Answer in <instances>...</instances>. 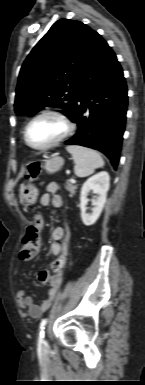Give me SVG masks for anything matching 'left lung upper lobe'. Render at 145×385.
I'll use <instances>...</instances> for the list:
<instances>
[{
    "label": "left lung upper lobe",
    "mask_w": 145,
    "mask_h": 385,
    "mask_svg": "<svg viewBox=\"0 0 145 385\" xmlns=\"http://www.w3.org/2000/svg\"><path fill=\"white\" fill-rule=\"evenodd\" d=\"M97 32L79 21L60 19L33 48L18 78L15 112L32 116L43 107H59L72 119L79 82Z\"/></svg>",
    "instance_id": "5c2ea615"
}]
</instances>
